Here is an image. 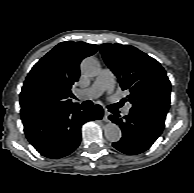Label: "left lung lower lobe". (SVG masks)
Listing matches in <instances>:
<instances>
[{
  "instance_id": "left-lung-lower-lobe-1",
  "label": "left lung lower lobe",
  "mask_w": 194,
  "mask_h": 193,
  "mask_svg": "<svg viewBox=\"0 0 194 193\" xmlns=\"http://www.w3.org/2000/svg\"><path fill=\"white\" fill-rule=\"evenodd\" d=\"M110 115L109 119L120 126L122 138L113 143V146L122 153L129 155L140 154L149 149L161 135L165 126V118L131 111L124 116V120L118 114Z\"/></svg>"
}]
</instances>
